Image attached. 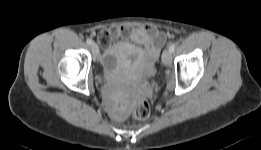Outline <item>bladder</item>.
Wrapping results in <instances>:
<instances>
[{
    "label": "bladder",
    "instance_id": "31cf9c89",
    "mask_svg": "<svg viewBox=\"0 0 261 150\" xmlns=\"http://www.w3.org/2000/svg\"><path fill=\"white\" fill-rule=\"evenodd\" d=\"M123 46H114L106 51L102 58V67L105 72H112L119 68Z\"/></svg>",
    "mask_w": 261,
    "mask_h": 150
}]
</instances>
